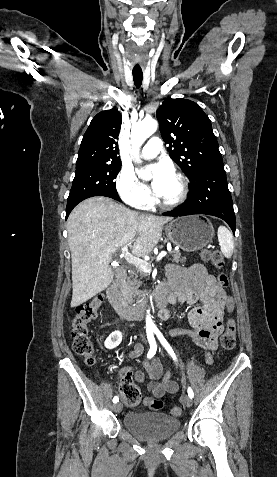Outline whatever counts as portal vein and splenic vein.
Instances as JSON below:
<instances>
[{"instance_id":"1","label":"portal vein and splenic vein","mask_w":277,"mask_h":477,"mask_svg":"<svg viewBox=\"0 0 277 477\" xmlns=\"http://www.w3.org/2000/svg\"><path fill=\"white\" fill-rule=\"evenodd\" d=\"M166 255H167L166 251H161L159 255L157 256V261L161 260ZM121 256L124 257L129 263L133 264L134 266L143 270L144 272H149L151 270V264L139 257L132 255L128 251L127 245L122 247Z\"/></svg>"}]
</instances>
